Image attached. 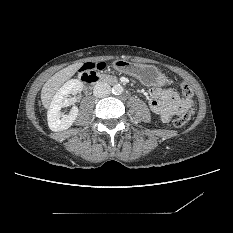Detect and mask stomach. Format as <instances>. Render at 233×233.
Returning <instances> with one entry per match:
<instances>
[{
    "label": "stomach",
    "mask_w": 233,
    "mask_h": 233,
    "mask_svg": "<svg viewBox=\"0 0 233 233\" xmlns=\"http://www.w3.org/2000/svg\"><path fill=\"white\" fill-rule=\"evenodd\" d=\"M113 67L119 72L138 79L146 86H165L168 83L167 77L154 66L118 59L113 62Z\"/></svg>",
    "instance_id": "1"
}]
</instances>
